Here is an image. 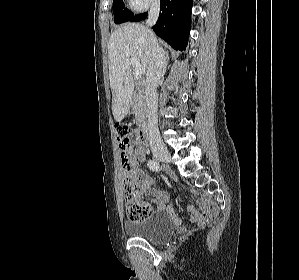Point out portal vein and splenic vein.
Segmentation results:
<instances>
[{
  "instance_id": "obj_1",
  "label": "portal vein and splenic vein",
  "mask_w": 299,
  "mask_h": 280,
  "mask_svg": "<svg viewBox=\"0 0 299 280\" xmlns=\"http://www.w3.org/2000/svg\"><path fill=\"white\" fill-rule=\"evenodd\" d=\"M131 65L134 68V75L136 78L142 76L145 73V69L135 58H131Z\"/></svg>"
}]
</instances>
